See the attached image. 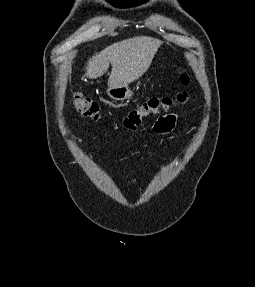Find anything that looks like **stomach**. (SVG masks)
<instances>
[{"instance_id": "stomach-1", "label": "stomach", "mask_w": 255, "mask_h": 287, "mask_svg": "<svg viewBox=\"0 0 255 287\" xmlns=\"http://www.w3.org/2000/svg\"><path fill=\"white\" fill-rule=\"evenodd\" d=\"M134 92L130 90L128 84H124V86H115V88H107V96L112 98V100H131Z\"/></svg>"}]
</instances>
